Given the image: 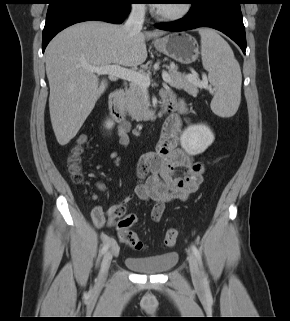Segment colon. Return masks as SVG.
I'll list each match as a JSON object with an SVG mask.
<instances>
[{"mask_svg":"<svg viewBox=\"0 0 290 321\" xmlns=\"http://www.w3.org/2000/svg\"><path fill=\"white\" fill-rule=\"evenodd\" d=\"M87 139L85 136H80L76 144L72 147L67 159L68 168L71 173L72 179L75 183H81L84 179L82 172L83 157L85 154V145ZM137 217L135 214H128L125 216L118 225L120 240L134 250H142L144 248L143 242L140 240L137 233L131 228L136 222ZM178 237V231L170 228L166 231L163 239V244L166 247L175 245Z\"/></svg>","mask_w":290,"mask_h":321,"instance_id":"1","label":"colon"}]
</instances>
